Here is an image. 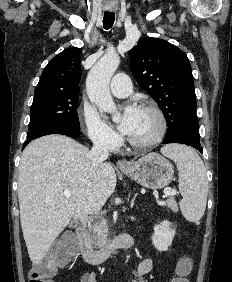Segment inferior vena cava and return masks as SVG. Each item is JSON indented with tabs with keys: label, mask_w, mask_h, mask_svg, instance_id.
<instances>
[{
	"label": "inferior vena cava",
	"mask_w": 232,
	"mask_h": 282,
	"mask_svg": "<svg viewBox=\"0 0 232 282\" xmlns=\"http://www.w3.org/2000/svg\"><path fill=\"white\" fill-rule=\"evenodd\" d=\"M89 157L94 169H97L109 157L108 143L104 138L94 141Z\"/></svg>",
	"instance_id": "inferior-vena-cava-1"
}]
</instances>
